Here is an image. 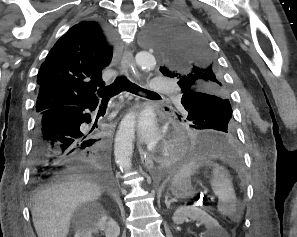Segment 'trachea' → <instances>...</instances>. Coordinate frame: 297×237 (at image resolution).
Returning a JSON list of instances; mask_svg holds the SVG:
<instances>
[{
  "mask_svg": "<svg viewBox=\"0 0 297 237\" xmlns=\"http://www.w3.org/2000/svg\"><path fill=\"white\" fill-rule=\"evenodd\" d=\"M121 91H128L134 94L157 95L155 92L143 89L137 84L130 82L125 76H120L111 85L99 88L98 96L102 98V101H108Z\"/></svg>",
  "mask_w": 297,
  "mask_h": 237,
  "instance_id": "1",
  "label": "trachea"
}]
</instances>
